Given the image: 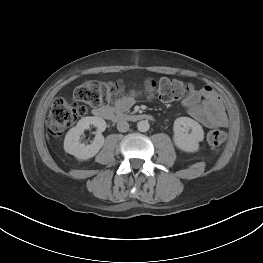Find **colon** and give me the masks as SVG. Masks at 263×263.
I'll use <instances>...</instances> for the list:
<instances>
[{
	"instance_id": "1",
	"label": "colon",
	"mask_w": 263,
	"mask_h": 263,
	"mask_svg": "<svg viewBox=\"0 0 263 263\" xmlns=\"http://www.w3.org/2000/svg\"><path fill=\"white\" fill-rule=\"evenodd\" d=\"M143 87L147 96L158 97L164 102L185 99L194 91L190 83L167 77L159 80L147 79ZM124 91L125 85L121 81H87L75 89L74 98L86 105L97 107L120 100ZM85 112L86 108L84 106L67 102L63 98H56L51 104L47 120L50 134L56 138L60 137ZM226 137L223 130H211L207 134V142L212 148L216 149L225 142Z\"/></svg>"
}]
</instances>
